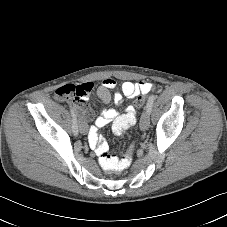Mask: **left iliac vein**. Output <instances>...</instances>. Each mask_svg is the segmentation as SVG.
Masks as SVG:
<instances>
[{"label":"left iliac vein","instance_id":"1","mask_svg":"<svg viewBox=\"0 0 227 227\" xmlns=\"http://www.w3.org/2000/svg\"><path fill=\"white\" fill-rule=\"evenodd\" d=\"M149 125H150V112L146 108L141 116L140 128L141 130L145 131L149 128Z\"/></svg>","mask_w":227,"mask_h":227}]
</instances>
